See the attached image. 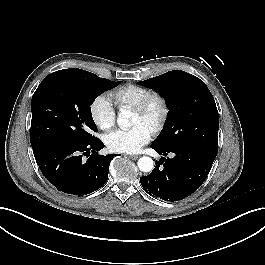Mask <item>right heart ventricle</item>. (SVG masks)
<instances>
[{"instance_id":"obj_1","label":"right heart ventricle","mask_w":265,"mask_h":265,"mask_svg":"<svg viewBox=\"0 0 265 265\" xmlns=\"http://www.w3.org/2000/svg\"><path fill=\"white\" fill-rule=\"evenodd\" d=\"M151 92V89L145 86L128 84L114 91L112 97L120 109H132Z\"/></svg>"}]
</instances>
